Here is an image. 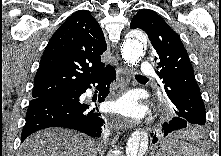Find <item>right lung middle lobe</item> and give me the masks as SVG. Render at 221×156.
<instances>
[{"mask_svg": "<svg viewBox=\"0 0 221 156\" xmlns=\"http://www.w3.org/2000/svg\"><path fill=\"white\" fill-rule=\"evenodd\" d=\"M68 96V94H66V95H61V96H57V97H67Z\"/></svg>", "mask_w": 221, "mask_h": 156, "instance_id": "right-lung-middle-lobe-1", "label": "right lung middle lobe"}]
</instances>
